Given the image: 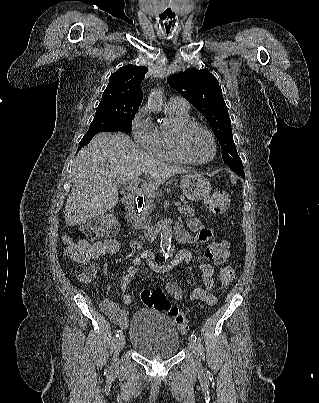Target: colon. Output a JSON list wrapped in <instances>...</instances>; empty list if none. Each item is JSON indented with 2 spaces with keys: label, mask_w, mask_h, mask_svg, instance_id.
<instances>
[{
  "label": "colon",
  "mask_w": 319,
  "mask_h": 403,
  "mask_svg": "<svg viewBox=\"0 0 319 403\" xmlns=\"http://www.w3.org/2000/svg\"><path fill=\"white\" fill-rule=\"evenodd\" d=\"M228 195L218 191L206 200L207 210L212 214H221L228 205ZM216 230H225V221L215 222ZM118 230V222L113 214H104L92 220L87 229L89 243L76 240L73 235L68 236L66 251L77 261L78 278L86 283L92 282L97 275L98 265L95 261L97 254H105L106 258L120 257V242L112 238ZM235 277L232 267H224L220 272V283L230 284ZM141 299L145 306L168 314L176 325L178 331L184 334L188 330V321L184 313L168 299L162 289H146L141 292Z\"/></svg>",
  "instance_id": "obj_1"
}]
</instances>
